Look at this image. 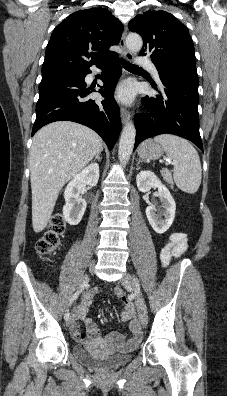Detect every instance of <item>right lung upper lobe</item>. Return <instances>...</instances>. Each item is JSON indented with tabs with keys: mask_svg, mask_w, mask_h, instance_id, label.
<instances>
[{
	"mask_svg": "<svg viewBox=\"0 0 227 396\" xmlns=\"http://www.w3.org/2000/svg\"><path fill=\"white\" fill-rule=\"evenodd\" d=\"M122 23L106 8L80 10L52 32L42 71L83 70L114 57L109 47L119 43Z\"/></svg>",
	"mask_w": 227,
	"mask_h": 396,
	"instance_id": "1",
	"label": "right lung upper lobe"
}]
</instances>
